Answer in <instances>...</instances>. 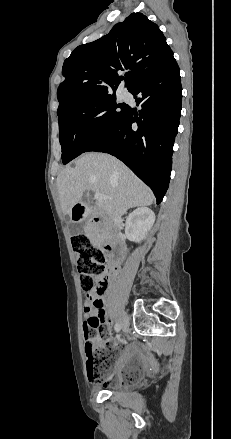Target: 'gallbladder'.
<instances>
[{
    "mask_svg": "<svg viewBox=\"0 0 231 439\" xmlns=\"http://www.w3.org/2000/svg\"><path fill=\"white\" fill-rule=\"evenodd\" d=\"M82 203L85 204L86 206H89L88 196L85 195L82 198ZM83 228H84V222L77 223V224H71L69 227V231H70L71 235H76V234L82 232Z\"/></svg>",
    "mask_w": 231,
    "mask_h": 439,
    "instance_id": "gallbladder-1",
    "label": "gallbladder"
}]
</instances>
